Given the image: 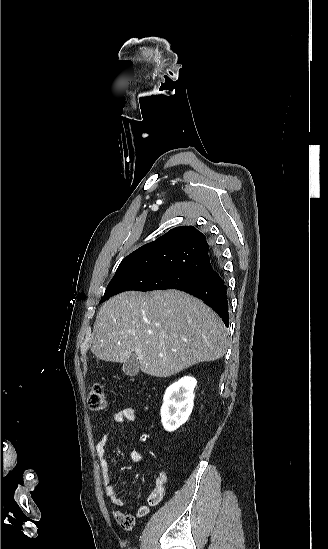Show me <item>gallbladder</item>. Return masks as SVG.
<instances>
[{"instance_id":"gallbladder-1","label":"gallbladder","mask_w":328,"mask_h":549,"mask_svg":"<svg viewBox=\"0 0 328 549\" xmlns=\"http://www.w3.org/2000/svg\"><path fill=\"white\" fill-rule=\"evenodd\" d=\"M139 369L140 365L137 361V357L135 353H132L129 359L123 363L122 371H124L125 375H129V377H135V375H138Z\"/></svg>"}]
</instances>
